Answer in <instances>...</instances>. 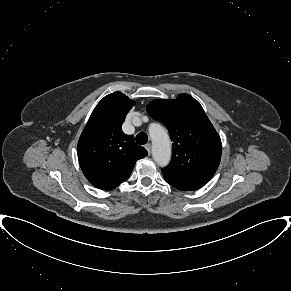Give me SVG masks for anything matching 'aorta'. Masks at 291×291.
I'll list each match as a JSON object with an SVG mask.
<instances>
[{"label": "aorta", "mask_w": 291, "mask_h": 291, "mask_svg": "<svg viewBox=\"0 0 291 291\" xmlns=\"http://www.w3.org/2000/svg\"><path fill=\"white\" fill-rule=\"evenodd\" d=\"M149 133L153 159L159 166H167L171 159V141L167 131L159 124H152Z\"/></svg>", "instance_id": "762f6f07"}]
</instances>
